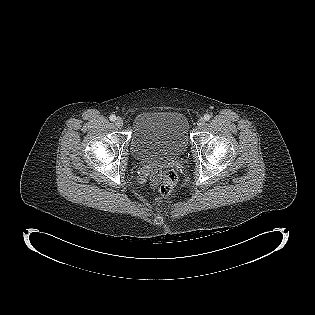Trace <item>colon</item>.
<instances>
[{
	"mask_svg": "<svg viewBox=\"0 0 315 315\" xmlns=\"http://www.w3.org/2000/svg\"><path fill=\"white\" fill-rule=\"evenodd\" d=\"M155 182L158 185L160 198H167L174 191V188L177 183V175L172 170L157 173L155 177Z\"/></svg>",
	"mask_w": 315,
	"mask_h": 315,
	"instance_id": "5ec220e1",
	"label": "colon"
}]
</instances>
